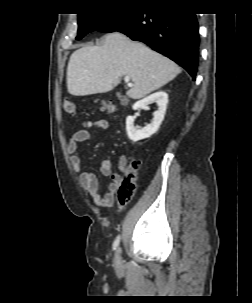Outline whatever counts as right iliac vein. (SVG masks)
Instances as JSON below:
<instances>
[{"mask_svg":"<svg viewBox=\"0 0 252 303\" xmlns=\"http://www.w3.org/2000/svg\"><path fill=\"white\" fill-rule=\"evenodd\" d=\"M121 263V249L116 250L115 264L119 265Z\"/></svg>","mask_w":252,"mask_h":303,"instance_id":"63e3f726","label":"right iliac vein"}]
</instances>
